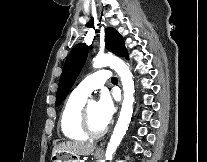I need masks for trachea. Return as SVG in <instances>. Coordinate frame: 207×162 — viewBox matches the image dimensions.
Wrapping results in <instances>:
<instances>
[{
  "label": "trachea",
  "instance_id": "1",
  "mask_svg": "<svg viewBox=\"0 0 207 162\" xmlns=\"http://www.w3.org/2000/svg\"><path fill=\"white\" fill-rule=\"evenodd\" d=\"M111 81H112V82H117L118 79H117L116 77H112V78H111Z\"/></svg>",
  "mask_w": 207,
  "mask_h": 162
}]
</instances>
